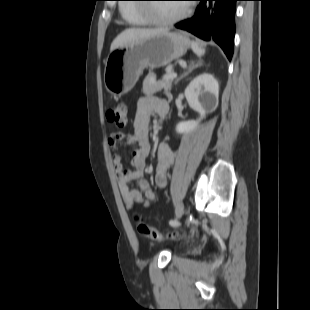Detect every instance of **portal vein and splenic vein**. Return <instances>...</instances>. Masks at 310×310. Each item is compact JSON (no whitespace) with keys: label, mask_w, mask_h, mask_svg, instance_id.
<instances>
[{"label":"portal vein and splenic vein","mask_w":310,"mask_h":310,"mask_svg":"<svg viewBox=\"0 0 310 310\" xmlns=\"http://www.w3.org/2000/svg\"><path fill=\"white\" fill-rule=\"evenodd\" d=\"M176 77H177V73L172 72V73H169L168 75H166V76H165V79H166V80H173V79H175Z\"/></svg>","instance_id":"obj_1"}]
</instances>
